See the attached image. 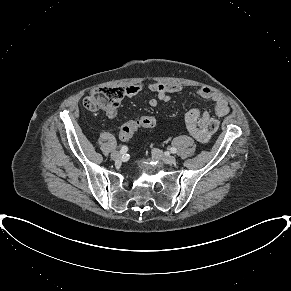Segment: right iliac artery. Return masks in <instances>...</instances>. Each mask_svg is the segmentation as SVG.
<instances>
[{
  "mask_svg": "<svg viewBox=\"0 0 291 291\" xmlns=\"http://www.w3.org/2000/svg\"><path fill=\"white\" fill-rule=\"evenodd\" d=\"M127 150H128V147H127L126 145H123V146L121 147V149H120V152H121L122 154H124V153L127 152Z\"/></svg>",
  "mask_w": 291,
  "mask_h": 291,
  "instance_id": "right-iliac-artery-1",
  "label": "right iliac artery"
}]
</instances>
